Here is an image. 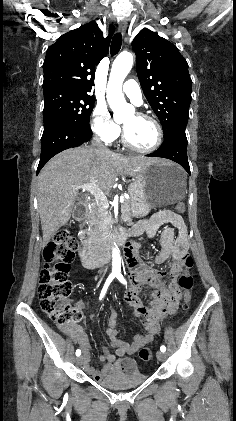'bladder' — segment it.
<instances>
[{"label": "bladder", "instance_id": "obj_1", "mask_svg": "<svg viewBox=\"0 0 236 421\" xmlns=\"http://www.w3.org/2000/svg\"><path fill=\"white\" fill-rule=\"evenodd\" d=\"M146 380V375L139 372L137 361L133 358L118 359L106 370L101 384L114 389L128 390L140 386Z\"/></svg>", "mask_w": 236, "mask_h": 421}]
</instances>
